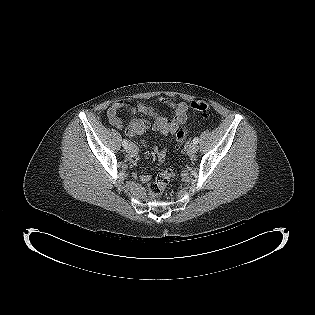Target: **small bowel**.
<instances>
[{"label": "small bowel", "instance_id": "small-bowel-1", "mask_svg": "<svg viewBox=\"0 0 315 315\" xmlns=\"http://www.w3.org/2000/svg\"><path fill=\"white\" fill-rule=\"evenodd\" d=\"M158 100L162 105L171 108L174 111V114L172 116L158 114L153 106L141 101L137 102L136 104H132L129 101L116 100L108 108L107 118L113 126L122 128L124 122L120 118L119 112L125 111L128 114L138 112L155 119L152 126L155 131H158L164 135L176 133L179 126L185 123L188 119L187 103L180 101L175 97H160ZM139 121L140 122L132 124L127 129V134L129 136L133 137L143 134L149 128V121L147 119H142ZM154 151L157 153L159 161L162 162L165 158L166 149L154 148ZM130 161L134 164L139 161L138 152L135 146L130 154ZM150 179L151 176L149 174L140 175V180L144 183L148 182Z\"/></svg>", "mask_w": 315, "mask_h": 315}]
</instances>
